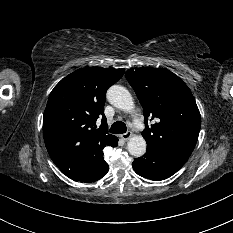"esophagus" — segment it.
I'll return each instance as SVG.
<instances>
[{
  "instance_id": "esophagus-1",
  "label": "esophagus",
  "mask_w": 233,
  "mask_h": 233,
  "mask_svg": "<svg viewBox=\"0 0 233 233\" xmlns=\"http://www.w3.org/2000/svg\"><path fill=\"white\" fill-rule=\"evenodd\" d=\"M123 140L127 141L132 137V132L131 131H127L126 133L122 134L120 136Z\"/></svg>"
}]
</instances>
